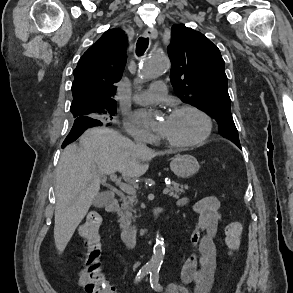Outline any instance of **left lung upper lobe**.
I'll list each match as a JSON object with an SVG mask.
<instances>
[{
    "label": "left lung upper lobe",
    "instance_id": "5c2ea615",
    "mask_svg": "<svg viewBox=\"0 0 293 293\" xmlns=\"http://www.w3.org/2000/svg\"><path fill=\"white\" fill-rule=\"evenodd\" d=\"M172 31L168 54L170 79L177 96L206 110L218 122L220 134L240 145L219 49L203 34L184 25L175 24Z\"/></svg>",
    "mask_w": 293,
    "mask_h": 293
}]
</instances>
